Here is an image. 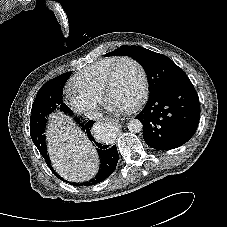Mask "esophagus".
<instances>
[{"instance_id": "esophagus-1", "label": "esophagus", "mask_w": 227, "mask_h": 227, "mask_svg": "<svg viewBox=\"0 0 227 227\" xmlns=\"http://www.w3.org/2000/svg\"><path fill=\"white\" fill-rule=\"evenodd\" d=\"M111 121H112L113 124H115L116 126H119V127H120V122H119V120H117V119H112Z\"/></svg>"}]
</instances>
